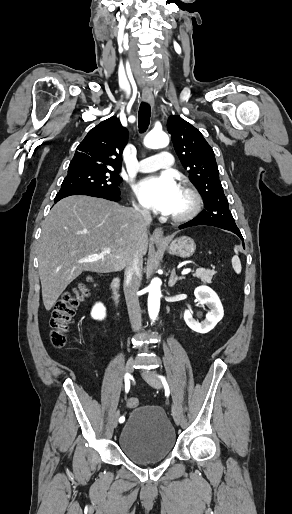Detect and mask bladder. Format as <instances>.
I'll return each instance as SVG.
<instances>
[{"label": "bladder", "mask_w": 292, "mask_h": 514, "mask_svg": "<svg viewBox=\"0 0 292 514\" xmlns=\"http://www.w3.org/2000/svg\"><path fill=\"white\" fill-rule=\"evenodd\" d=\"M118 445L131 461L147 464L168 457L176 445V433L164 410L144 405L131 410L123 424Z\"/></svg>", "instance_id": "1"}]
</instances>
